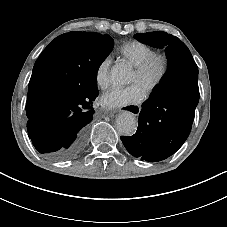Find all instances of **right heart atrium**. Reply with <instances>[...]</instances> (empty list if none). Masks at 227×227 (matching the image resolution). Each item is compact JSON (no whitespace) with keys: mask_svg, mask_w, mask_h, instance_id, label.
I'll return each mask as SVG.
<instances>
[{"mask_svg":"<svg viewBox=\"0 0 227 227\" xmlns=\"http://www.w3.org/2000/svg\"><path fill=\"white\" fill-rule=\"evenodd\" d=\"M111 58L105 57L99 62L95 70V82L101 89L106 88L110 82Z\"/></svg>","mask_w":227,"mask_h":227,"instance_id":"obj_1","label":"right heart atrium"}]
</instances>
